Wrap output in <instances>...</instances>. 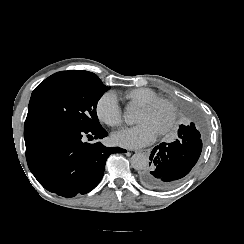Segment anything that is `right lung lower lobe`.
Listing matches in <instances>:
<instances>
[{
    "instance_id": "98d812e1",
    "label": "right lung lower lobe",
    "mask_w": 244,
    "mask_h": 244,
    "mask_svg": "<svg viewBox=\"0 0 244 244\" xmlns=\"http://www.w3.org/2000/svg\"><path fill=\"white\" fill-rule=\"evenodd\" d=\"M108 135L102 127L73 128L47 118H26L24 139L26 159L38 182L50 192L73 197L94 189L101 181L110 154L126 152L100 142L85 143Z\"/></svg>"
}]
</instances>
